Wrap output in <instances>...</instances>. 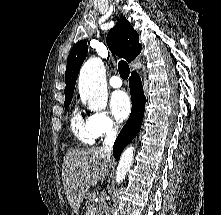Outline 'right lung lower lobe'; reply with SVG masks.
<instances>
[{
    "instance_id": "1",
    "label": "right lung lower lobe",
    "mask_w": 221,
    "mask_h": 215,
    "mask_svg": "<svg viewBox=\"0 0 221 215\" xmlns=\"http://www.w3.org/2000/svg\"><path fill=\"white\" fill-rule=\"evenodd\" d=\"M130 94L132 100L131 114L113 146V155L116 159H119L124 147L138 134L143 121L146 99L140 77L135 71L131 73L130 77Z\"/></svg>"
}]
</instances>
